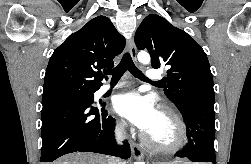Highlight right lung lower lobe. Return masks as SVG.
<instances>
[{
	"label": "right lung lower lobe",
	"instance_id": "1",
	"mask_svg": "<svg viewBox=\"0 0 251 164\" xmlns=\"http://www.w3.org/2000/svg\"><path fill=\"white\" fill-rule=\"evenodd\" d=\"M115 120L108 116L105 104L57 101L42 108L41 162H52L76 151L95 152L127 159L131 155L126 142L115 143Z\"/></svg>",
	"mask_w": 251,
	"mask_h": 164
}]
</instances>
